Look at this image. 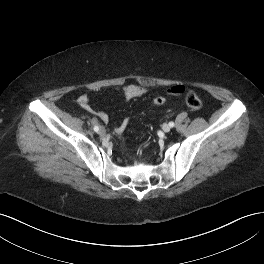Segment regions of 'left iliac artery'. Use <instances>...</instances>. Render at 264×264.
Masks as SVG:
<instances>
[{
	"instance_id": "44dca946",
	"label": "left iliac artery",
	"mask_w": 264,
	"mask_h": 264,
	"mask_svg": "<svg viewBox=\"0 0 264 264\" xmlns=\"http://www.w3.org/2000/svg\"><path fill=\"white\" fill-rule=\"evenodd\" d=\"M170 127H174V122H169Z\"/></svg>"
}]
</instances>
